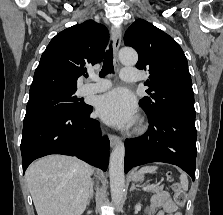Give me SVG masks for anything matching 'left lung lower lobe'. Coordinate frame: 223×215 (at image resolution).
<instances>
[{"mask_svg": "<svg viewBox=\"0 0 223 215\" xmlns=\"http://www.w3.org/2000/svg\"><path fill=\"white\" fill-rule=\"evenodd\" d=\"M148 131L139 138L125 141L124 170L150 163L165 162L179 166L195 180V117L176 113H146Z\"/></svg>", "mask_w": 223, "mask_h": 215, "instance_id": "obj_1", "label": "left lung lower lobe"}]
</instances>
